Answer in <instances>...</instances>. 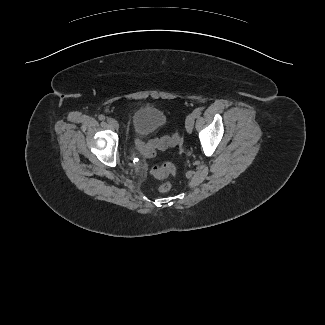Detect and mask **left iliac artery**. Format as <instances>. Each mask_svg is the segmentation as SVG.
<instances>
[{
	"label": "left iliac artery",
	"mask_w": 325,
	"mask_h": 325,
	"mask_svg": "<svg viewBox=\"0 0 325 325\" xmlns=\"http://www.w3.org/2000/svg\"><path fill=\"white\" fill-rule=\"evenodd\" d=\"M193 113H194L195 117H199L201 115V109L196 108Z\"/></svg>",
	"instance_id": "1"
}]
</instances>
